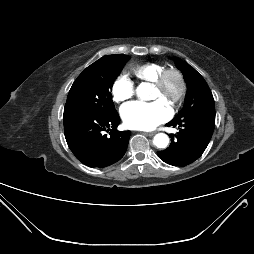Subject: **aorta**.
Listing matches in <instances>:
<instances>
[{
  "label": "aorta",
  "instance_id": "1",
  "mask_svg": "<svg viewBox=\"0 0 254 254\" xmlns=\"http://www.w3.org/2000/svg\"><path fill=\"white\" fill-rule=\"evenodd\" d=\"M146 90H147V88L144 85H140L137 88V95L141 98H144ZM153 144L157 148H166L169 144V137L164 133L156 134L153 139Z\"/></svg>",
  "mask_w": 254,
  "mask_h": 254
}]
</instances>
